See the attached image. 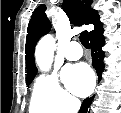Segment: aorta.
I'll return each instance as SVG.
<instances>
[{
    "label": "aorta",
    "mask_w": 121,
    "mask_h": 113,
    "mask_svg": "<svg viewBox=\"0 0 121 113\" xmlns=\"http://www.w3.org/2000/svg\"><path fill=\"white\" fill-rule=\"evenodd\" d=\"M56 44L51 35L44 36L37 44L35 50V59L38 67L42 71H49L53 61V54Z\"/></svg>",
    "instance_id": "762f6f07"
}]
</instances>
